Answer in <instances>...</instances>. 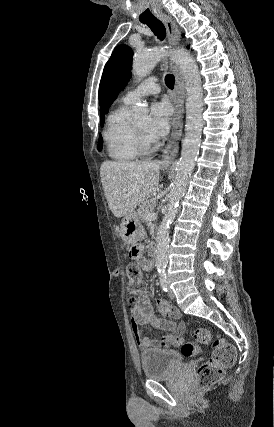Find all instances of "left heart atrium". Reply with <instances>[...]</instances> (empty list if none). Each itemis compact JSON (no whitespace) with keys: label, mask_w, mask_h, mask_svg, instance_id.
<instances>
[{"label":"left heart atrium","mask_w":274,"mask_h":427,"mask_svg":"<svg viewBox=\"0 0 274 427\" xmlns=\"http://www.w3.org/2000/svg\"><path fill=\"white\" fill-rule=\"evenodd\" d=\"M172 109L166 101L154 103L150 108L147 125L148 134L155 140L165 136L171 124Z\"/></svg>","instance_id":"left-heart-atrium-1"}]
</instances>
